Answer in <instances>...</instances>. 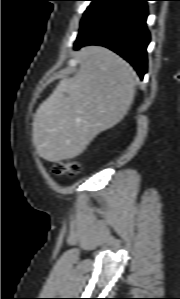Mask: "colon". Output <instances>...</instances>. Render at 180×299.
Returning <instances> with one entry per match:
<instances>
[{
    "mask_svg": "<svg viewBox=\"0 0 180 299\" xmlns=\"http://www.w3.org/2000/svg\"><path fill=\"white\" fill-rule=\"evenodd\" d=\"M80 170H81L80 164L70 160L59 161L54 164L52 169L53 173L57 176H62V175L75 176L79 174Z\"/></svg>",
    "mask_w": 180,
    "mask_h": 299,
    "instance_id": "colon-1",
    "label": "colon"
}]
</instances>
